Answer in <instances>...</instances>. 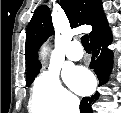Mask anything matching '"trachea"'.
I'll list each match as a JSON object with an SVG mask.
<instances>
[{
  "label": "trachea",
  "instance_id": "obj_1",
  "mask_svg": "<svg viewBox=\"0 0 121 113\" xmlns=\"http://www.w3.org/2000/svg\"><path fill=\"white\" fill-rule=\"evenodd\" d=\"M81 43H82V45H83V47H84L85 50H90L91 49L90 48V43H89V37H88V35L82 36Z\"/></svg>",
  "mask_w": 121,
  "mask_h": 113
}]
</instances>
